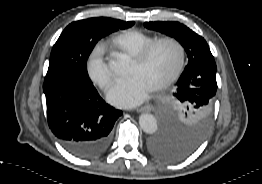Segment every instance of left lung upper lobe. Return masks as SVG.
Returning a JSON list of instances; mask_svg holds the SVG:
<instances>
[{
    "label": "left lung upper lobe",
    "mask_w": 262,
    "mask_h": 184,
    "mask_svg": "<svg viewBox=\"0 0 262 184\" xmlns=\"http://www.w3.org/2000/svg\"><path fill=\"white\" fill-rule=\"evenodd\" d=\"M144 26L174 37L188 55V65L175 90L161 104L160 115L168 135L198 145L212 121L216 64L205 61L214 57L204 38L179 22H146Z\"/></svg>",
    "instance_id": "1"
}]
</instances>
